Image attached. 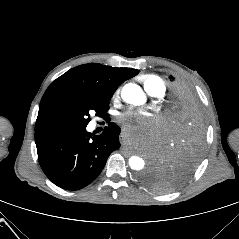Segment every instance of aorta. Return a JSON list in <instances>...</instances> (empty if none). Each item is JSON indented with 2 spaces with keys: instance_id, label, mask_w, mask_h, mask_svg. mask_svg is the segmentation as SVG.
I'll list each match as a JSON object with an SVG mask.
<instances>
[{
  "instance_id": "1",
  "label": "aorta",
  "mask_w": 239,
  "mask_h": 239,
  "mask_svg": "<svg viewBox=\"0 0 239 239\" xmlns=\"http://www.w3.org/2000/svg\"><path fill=\"white\" fill-rule=\"evenodd\" d=\"M122 99L130 104L142 105L146 101V96L140 86L134 83L126 84L121 92ZM129 166L133 170H142L145 166V161L139 156H131L129 158Z\"/></svg>"
}]
</instances>
